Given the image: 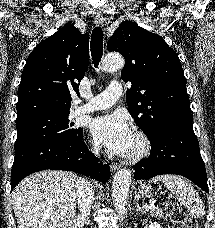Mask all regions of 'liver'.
<instances>
[{
  "instance_id": "obj_1",
  "label": "liver",
  "mask_w": 215,
  "mask_h": 228,
  "mask_svg": "<svg viewBox=\"0 0 215 228\" xmlns=\"http://www.w3.org/2000/svg\"><path fill=\"white\" fill-rule=\"evenodd\" d=\"M76 174L36 172L12 192L18 228H77Z\"/></svg>"
}]
</instances>
